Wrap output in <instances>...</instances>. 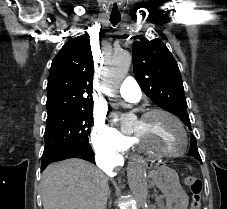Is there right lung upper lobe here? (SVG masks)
I'll list each match as a JSON object with an SVG mask.
<instances>
[{
	"label": "right lung upper lobe",
	"instance_id": "right-lung-upper-lobe-1",
	"mask_svg": "<svg viewBox=\"0 0 227 209\" xmlns=\"http://www.w3.org/2000/svg\"><path fill=\"white\" fill-rule=\"evenodd\" d=\"M87 35L66 42L53 59L47 85V107L57 99L92 98L94 68Z\"/></svg>",
	"mask_w": 227,
	"mask_h": 209
}]
</instances>
